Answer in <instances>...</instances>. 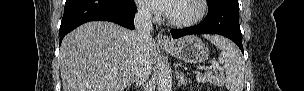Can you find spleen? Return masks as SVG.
<instances>
[{"label":"spleen","mask_w":304,"mask_h":91,"mask_svg":"<svg viewBox=\"0 0 304 91\" xmlns=\"http://www.w3.org/2000/svg\"><path fill=\"white\" fill-rule=\"evenodd\" d=\"M212 44L221 50L219 63L223 65L220 74L202 76L197 74L198 82H210L224 85L229 91H243L244 88V61L239 49L227 38L222 36H207Z\"/></svg>","instance_id":"obj_1"}]
</instances>
